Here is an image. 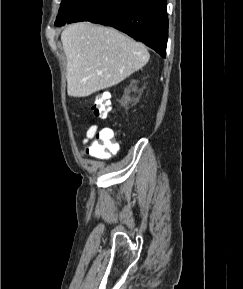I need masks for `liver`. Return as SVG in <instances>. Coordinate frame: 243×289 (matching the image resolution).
Here are the masks:
<instances>
[{
    "label": "liver",
    "mask_w": 243,
    "mask_h": 289,
    "mask_svg": "<svg viewBox=\"0 0 243 289\" xmlns=\"http://www.w3.org/2000/svg\"><path fill=\"white\" fill-rule=\"evenodd\" d=\"M61 41L71 97H87L112 87L144 67L150 58L142 43L111 27L88 22L69 25Z\"/></svg>",
    "instance_id": "6515ba94"
}]
</instances>
